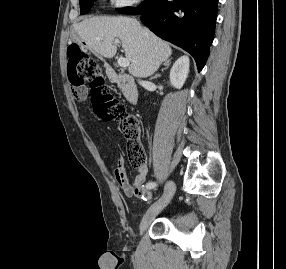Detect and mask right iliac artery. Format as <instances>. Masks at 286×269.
I'll list each match as a JSON object with an SVG mask.
<instances>
[{
    "label": "right iliac artery",
    "instance_id": "right-iliac-artery-1",
    "mask_svg": "<svg viewBox=\"0 0 286 269\" xmlns=\"http://www.w3.org/2000/svg\"><path fill=\"white\" fill-rule=\"evenodd\" d=\"M155 186H156V183H154V182H148V183L146 184V188H147V189L154 188Z\"/></svg>",
    "mask_w": 286,
    "mask_h": 269
}]
</instances>
